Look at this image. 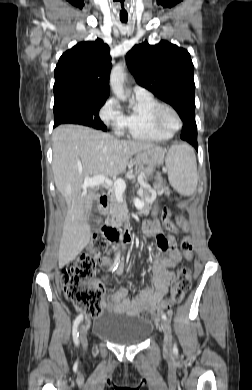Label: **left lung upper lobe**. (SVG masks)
Returning <instances> with one entry per match:
<instances>
[{"label":"left lung upper lobe","instance_id":"left-lung-upper-lobe-1","mask_svg":"<svg viewBox=\"0 0 252 390\" xmlns=\"http://www.w3.org/2000/svg\"><path fill=\"white\" fill-rule=\"evenodd\" d=\"M127 64L136 82L173 106L182 120L195 119L194 66L187 50L167 41L135 45Z\"/></svg>","mask_w":252,"mask_h":390}]
</instances>
